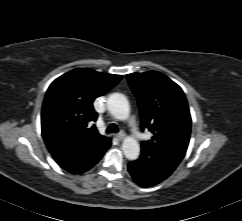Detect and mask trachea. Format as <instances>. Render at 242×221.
Here are the masks:
<instances>
[{
	"label": "trachea",
	"instance_id": "1",
	"mask_svg": "<svg viewBox=\"0 0 242 221\" xmlns=\"http://www.w3.org/2000/svg\"><path fill=\"white\" fill-rule=\"evenodd\" d=\"M107 133H118L119 128L116 124H110L106 130Z\"/></svg>",
	"mask_w": 242,
	"mask_h": 221
}]
</instances>
